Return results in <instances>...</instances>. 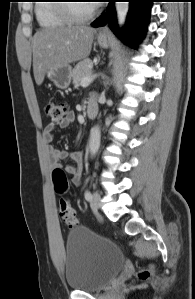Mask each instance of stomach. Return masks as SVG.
Wrapping results in <instances>:
<instances>
[{"label":"stomach","instance_id":"obj_1","mask_svg":"<svg viewBox=\"0 0 195 299\" xmlns=\"http://www.w3.org/2000/svg\"><path fill=\"white\" fill-rule=\"evenodd\" d=\"M98 43L101 47H108L109 41L106 37L98 36ZM47 78L54 83V85L60 89H66L69 87L72 79L71 66H61L56 68H50L46 72Z\"/></svg>","mask_w":195,"mask_h":299}]
</instances>
